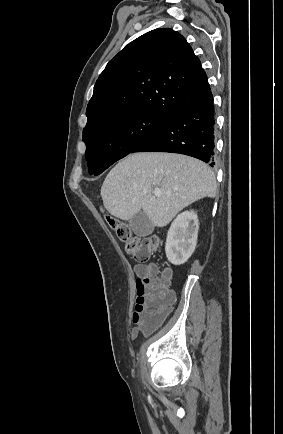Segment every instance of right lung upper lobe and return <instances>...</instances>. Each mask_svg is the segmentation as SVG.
Instances as JSON below:
<instances>
[{
	"mask_svg": "<svg viewBox=\"0 0 283 434\" xmlns=\"http://www.w3.org/2000/svg\"><path fill=\"white\" fill-rule=\"evenodd\" d=\"M210 92L207 75L186 39L169 28L155 29L109 61L94 86L84 130L136 111L171 117Z\"/></svg>",
	"mask_w": 283,
	"mask_h": 434,
	"instance_id": "1",
	"label": "right lung upper lobe"
}]
</instances>
